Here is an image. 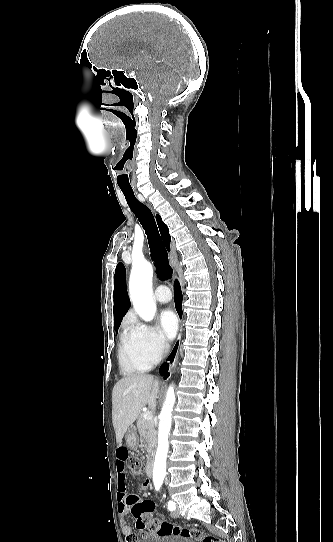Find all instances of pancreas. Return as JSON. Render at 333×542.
Wrapping results in <instances>:
<instances>
[{"label": "pancreas", "mask_w": 333, "mask_h": 542, "mask_svg": "<svg viewBox=\"0 0 333 542\" xmlns=\"http://www.w3.org/2000/svg\"><path fill=\"white\" fill-rule=\"evenodd\" d=\"M143 414H140L137 420L140 442L144 450H146V458H148V460H153L157 444V432L155 430L153 420H145V418H143Z\"/></svg>", "instance_id": "cf45deb5"}]
</instances>
